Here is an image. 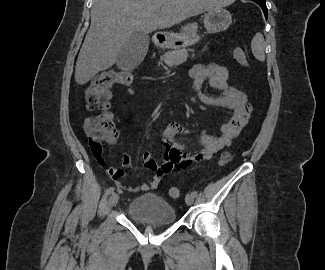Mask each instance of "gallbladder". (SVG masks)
I'll return each mask as SVG.
<instances>
[{"mask_svg":"<svg viewBox=\"0 0 325 270\" xmlns=\"http://www.w3.org/2000/svg\"><path fill=\"white\" fill-rule=\"evenodd\" d=\"M149 46V36L141 32H135L123 44L117 59V67L122 70H130L137 67L144 59Z\"/></svg>","mask_w":325,"mask_h":270,"instance_id":"gallbladder-1","label":"gallbladder"}]
</instances>
